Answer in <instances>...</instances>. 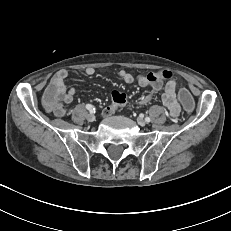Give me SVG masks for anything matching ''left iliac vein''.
Instances as JSON below:
<instances>
[{
  "label": "left iliac vein",
  "mask_w": 231,
  "mask_h": 231,
  "mask_svg": "<svg viewBox=\"0 0 231 231\" xmlns=\"http://www.w3.org/2000/svg\"><path fill=\"white\" fill-rule=\"evenodd\" d=\"M137 122H138V124L140 125V126H145L146 125V121L143 119V118H141V117H139L138 119H137Z\"/></svg>",
  "instance_id": "left-iliac-vein-1"
}]
</instances>
